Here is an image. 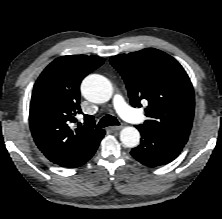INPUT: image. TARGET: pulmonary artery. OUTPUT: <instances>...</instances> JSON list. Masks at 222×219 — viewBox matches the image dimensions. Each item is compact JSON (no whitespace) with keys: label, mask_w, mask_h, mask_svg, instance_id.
I'll return each instance as SVG.
<instances>
[{"label":"pulmonary artery","mask_w":222,"mask_h":219,"mask_svg":"<svg viewBox=\"0 0 222 219\" xmlns=\"http://www.w3.org/2000/svg\"><path fill=\"white\" fill-rule=\"evenodd\" d=\"M114 106L125 120L136 124L143 122V115L129 107L121 96L114 97Z\"/></svg>","instance_id":"obj_1"}]
</instances>
